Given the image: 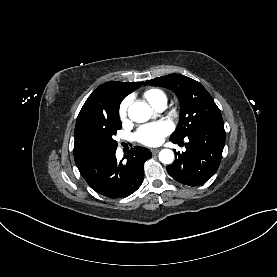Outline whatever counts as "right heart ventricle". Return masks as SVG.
<instances>
[{"mask_svg": "<svg viewBox=\"0 0 277 277\" xmlns=\"http://www.w3.org/2000/svg\"><path fill=\"white\" fill-rule=\"evenodd\" d=\"M143 97L154 108L162 103L166 104L167 102L166 94L158 88H151L146 90L143 93Z\"/></svg>", "mask_w": 277, "mask_h": 277, "instance_id": "right-heart-ventricle-1", "label": "right heart ventricle"}]
</instances>
